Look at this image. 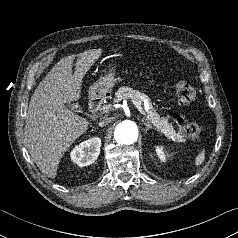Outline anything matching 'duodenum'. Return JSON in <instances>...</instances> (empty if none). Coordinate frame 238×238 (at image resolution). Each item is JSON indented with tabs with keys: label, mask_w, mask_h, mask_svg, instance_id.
Segmentation results:
<instances>
[{
	"label": "duodenum",
	"mask_w": 238,
	"mask_h": 238,
	"mask_svg": "<svg viewBox=\"0 0 238 238\" xmlns=\"http://www.w3.org/2000/svg\"><path fill=\"white\" fill-rule=\"evenodd\" d=\"M101 102H102V96L99 94H93L90 100L91 109L94 111L98 110Z\"/></svg>",
	"instance_id": "obj_1"
}]
</instances>
